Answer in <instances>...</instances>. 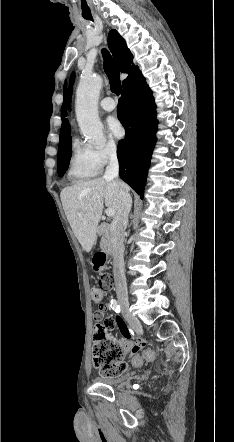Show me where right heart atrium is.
<instances>
[{"label": "right heart atrium", "instance_id": "obj_1", "mask_svg": "<svg viewBox=\"0 0 234 442\" xmlns=\"http://www.w3.org/2000/svg\"><path fill=\"white\" fill-rule=\"evenodd\" d=\"M117 154L118 146L112 140H109L104 145L93 149V155L99 169L113 161L117 157Z\"/></svg>", "mask_w": 234, "mask_h": 442}]
</instances>
